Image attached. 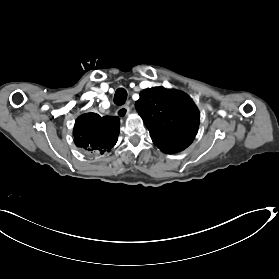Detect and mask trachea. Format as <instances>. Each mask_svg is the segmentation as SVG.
<instances>
[{
    "mask_svg": "<svg viewBox=\"0 0 279 279\" xmlns=\"http://www.w3.org/2000/svg\"><path fill=\"white\" fill-rule=\"evenodd\" d=\"M127 99V91L124 88H118L114 95V103L118 106L123 105Z\"/></svg>",
    "mask_w": 279,
    "mask_h": 279,
    "instance_id": "trachea-1",
    "label": "trachea"
}]
</instances>
